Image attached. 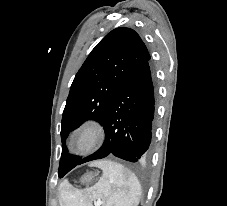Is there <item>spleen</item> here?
Here are the masks:
<instances>
[{
    "label": "spleen",
    "instance_id": "spleen-1",
    "mask_svg": "<svg viewBox=\"0 0 227 206\" xmlns=\"http://www.w3.org/2000/svg\"><path fill=\"white\" fill-rule=\"evenodd\" d=\"M96 166L103 171L98 183L85 191L64 186L62 206H89L96 199H102L103 206H138L142 190L134 173L113 161H100Z\"/></svg>",
    "mask_w": 227,
    "mask_h": 206
}]
</instances>
